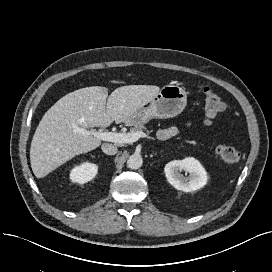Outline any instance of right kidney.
Here are the masks:
<instances>
[{"mask_svg":"<svg viewBox=\"0 0 272 272\" xmlns=\"http://www.w3.org/2000/svg\"><path fill=\"white\" fill-rule=\"evenodd\" d=\"M97 172L98 166L96 164L84 162L71 170L70 179L72 182L84 184L91 181L96 176Z\"/></svg>","mask_w":272,"mask_h":272,"instance_id":"ca27d5eb","label":"right kidney"}]
</instances>
